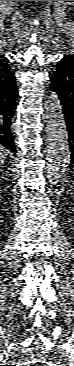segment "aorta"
<instances>
[{
	"mask_svg": "<svg viewBox=\"0 0 74 366\" xmlns=\"http://www.w3.org/2000/svg\"><path fill=\"white\" fill-rule=\"evenodd\" d=\"M47 134V180L56 184L70 164V146L63 108L56 92H51L45 104Z\"/></svg>",
	"mask_w": 74,
	"mask_h": 366,
	"instance_id": "762f6f07",
	"label": "aorta"
}]
</instances>
